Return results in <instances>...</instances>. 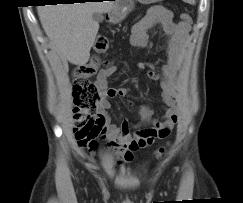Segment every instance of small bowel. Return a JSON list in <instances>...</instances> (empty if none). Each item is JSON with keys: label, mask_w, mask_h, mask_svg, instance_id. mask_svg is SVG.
Returning a JSON list of instances; mask_svg holds the SVG:
<instances>
[{"label": "small bowel", "mask_w": 243, "mask_h": 203, "mask_svg": "<svg viewBox=\"0 0 243 203\" xmlns=\"http://www.w3.org/2000/svg\"><path fill=\"white\" fill-rule=\"evenodd\" d=\"M155 25H159L168 36L165 49L166 59L161 66L160 73L150 70L147 74L150 79L161 80V98L166 106L162 119L154 120L151 127L137 130L134 135L129 132L127 119H122L120 124L112 123L108 114V110L111 108L109 98L121 97L126 100L142 121H149L152 111L145 105L135 107L130 99L128 88L108 86L109 77L116 73V67L113 64L102 69L97 75L96 83L101 93V99L92 127L90 143L81 147L88 148L95 155L112 153L117 165L132 161L138 150L150 146L156 139L167 137L178 120L176 110L177 73L188 42L190 24L184 21L176 22L173 20L170 10L162 6H154L134 24L130 44L134 47L145 46L147 32ZM100 140L105 143L102 144Z\"/></svg>", "instance_id": "1"}]
</instances>
